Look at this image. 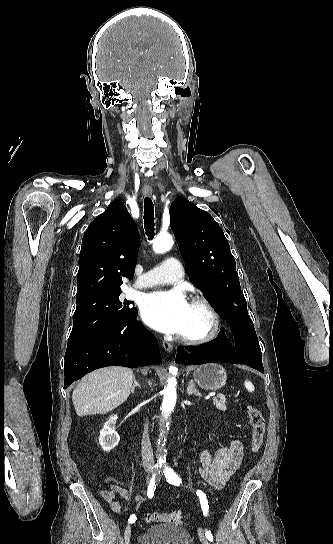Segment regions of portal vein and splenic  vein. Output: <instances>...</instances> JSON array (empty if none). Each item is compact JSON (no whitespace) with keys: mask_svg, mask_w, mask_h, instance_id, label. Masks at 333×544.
I'll return each instance as SVG.
<instances>
[{"mask_svg":"<svg viewBox=\"0 0 333 544\" xmlns=\"http://www.w3.org/2000/svg\"><path fill=\"white\" fill-rule=\"evenodd\" d=\"M213 396H215V393H210L209 394V397H213Z\"/></svg>","mask_w":333,"mask_h":544,"instance_id":"portal-vein-and-splenic-vein-1","label":"portal vein and splenic vein"}]
</instances>
